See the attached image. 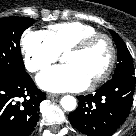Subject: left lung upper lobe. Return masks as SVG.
Here are the masks:
<instances>
[{
	"label": "left lung upper lobe",
	"instance_id": "5c2ea615",
	"mask_svg": "<svg viewBox=\"0 0 136 136\" xmlns=\"http://www.w3.org/2000/svg\"><path fill=\"white\" fill-rule=\"evenodd\" d=\"M111 34L117 46V52H118L117 54L118 64L116 66L113 78L134 76L135 73H134L132 56L126 44L117 33L111 31Z\"/></svg>",
	"mask_w": 136,
	"mask_h": 136
}]
</instances>
